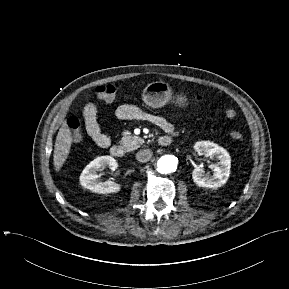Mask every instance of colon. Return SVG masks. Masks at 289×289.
I'll list each match as a JSON object with an SVG mask.
<instances>
[{"label":"colon","instance_id":"colon-1","mask_svg":"<svg viewBox=\"0 0 289 289\" xmlns=\"http://www.w3.org/2000/svg\"><path fill=\"white\" fill-rule=\"evenodd\" d=\"M118 91V85L115 83H109L105 85L98 86L96 89L97 96L104 101H112L117 94ZM196 100H201V97H196ZM226 117L229 119H233L236 117L237 113L234 109L229 108L225 112ZM67 124L72 130V137L73 141L75 143H78L82 140L83 138V133H82V119L78 116H71L67 120ZM231 137L234 140H241L243 135L239 131H233L231 132Z\"/></svg>","mask_w":289,"mask_h":289}]
</instances>
